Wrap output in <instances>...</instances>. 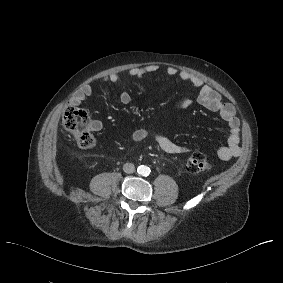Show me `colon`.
Segmentation results:
<instances>
[{
    "mask_svg": "<svg viewBox=\"0 0 283 283\" xmlns=\"http://www.w3.org/2000/svg\"><path fill=\"white\" fill-rule=\"evenodd\" d=\"M62 123L64 128L73 135L80 148L89 149L93 147L94 138L86 130L89 116L84 110L69 103L64 109ZM183 166L191 173L205 172L211 168L209 160L202 153H194L188 156L184 160Z\"/></svg>",
    "mask_w": 283,
    "mask_h": 283,
    "instance_id": "1",
    "label": "colon"
}]
</instances>
